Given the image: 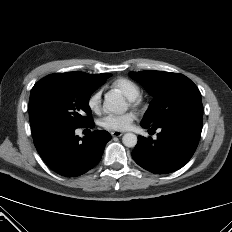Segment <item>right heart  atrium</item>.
Returning <instances> with one entry per match:
<instances>
[{"instance_id":"1","label":"right heart atrium","mask_w":232,"mask_h":232,"mask_svg":"<svg viewBox=\"0 0 232 232\" xmlns=\"http://www.w3.org/2000/svg\"><path fill=\"white\" fill-rule=\"evenodd\" d=\"M87 106L93 113H99L101 110V92H93L87 99Z\"/></svg>"}]
</instances>
